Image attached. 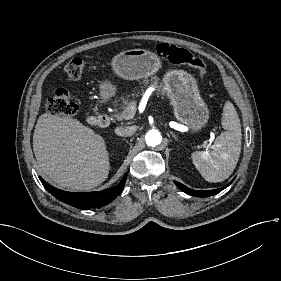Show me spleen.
Returning <instances> with one entry per match:
<instances>
[{
    "mask_svg": "<svg viewBox=\"0 0 281 281\" xmlns=\"http://www.w3.org/2000/svg\"><path fill=\"white\" fill-rule=\"evenodd\" d=\"M222 127L226 130L215 140L212 151L193 152L191 157L202 177L212 183L222 182L234 171L241 152V124L233 104L223 108Z\"/></svg>",
    "mask_w": 281,
    "mask_h": 281,
    "instance_id": "3e777b00",
    "label": "spleen"
}]
</instances>
